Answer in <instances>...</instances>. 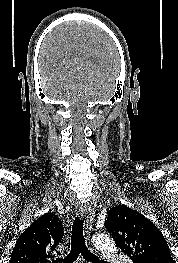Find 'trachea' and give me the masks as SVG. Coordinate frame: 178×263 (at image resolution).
<instances>
[{
  "instance_id": "obj_1",
  "label": "trachea",
  "mask_w": 178,
  "mask_h": 263,
  "mask_svg": "<svg viewBox=\"0 0 178 263\" xmlns=\"http://www.w3.org/2000/svg\"><path fill=\"white\" fill-rule=\"evenodd\" d=\"M83 223L84 218L80 219L77 217L72 225V236H71V250L70 253L63 259L57 258L55 263H74L77 260L80 253L83 258L92 263H107L104 260H100L97 256L91 253L86 244L83 235Z\"/></svg>"
}]
</instances>
